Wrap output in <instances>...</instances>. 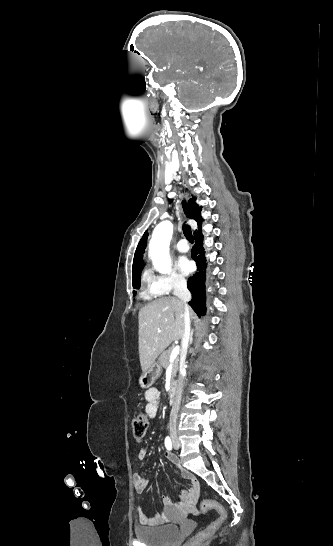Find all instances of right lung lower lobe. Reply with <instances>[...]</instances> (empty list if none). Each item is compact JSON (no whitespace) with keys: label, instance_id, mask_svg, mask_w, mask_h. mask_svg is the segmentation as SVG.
Returning a JSON list of instances; mask_svg holds the SVG:
<instances>
[{"label":"right lung lower lobe","instance_id":"obj_1","mask_svg":"<svg viewBox=\"0 0 333 546\" xmlns=\"http://www.w3.org/2000/svg\"><path fill=\"white\" fill-rule=\"evenodd\" d=\"M194 238L196 244L192 249V258L196 261L198 271L188 279L187 287L192 294L189 305L194 309L198 316H201L206 313L205 269L207 263L204 256L202 231L195 234Z\"/></svg>","mask_w":333,"mask_h":546}]
</instances>
